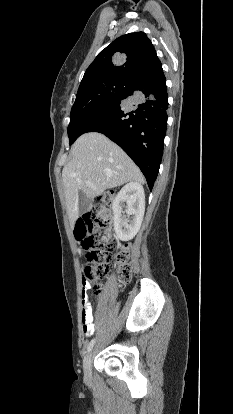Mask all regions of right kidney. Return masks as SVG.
<instances>
[{
	"label": "right kidney",
	"mask_w": 233,
	"mask_h": 414,
	"mask_svg": "<svg viewBox=\"0 0 233 414\" xmlns=\"http://www.w3.org/2000/svg\"><path fill=\"white\" fill-rule=\"evenodd\" d=\"M126 203L123 211L122 204ZM114 230L121 241L131 240L139 231L145 211V194L138 182L126 184L112 204Z\"/></svg>",
	"instance_id": "obj_1"
}]
</instances>
